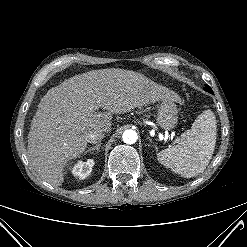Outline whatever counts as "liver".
<instances>
[{"mask_svg": "<svg viewBox=\"0 0 247 247\" xmlns=\"http://www.w3.org/2000/svg\"><path fill=\"white\" fill-rule=\"evenodd\" d=\"M179 96L144 75L124 69L92 70L63 81L41 99L28 134V158L40 178L64 181L63 167L87 147V136L110 131L112 114ZM102 107L106 112H96Z\"/></svg>", "mask_w": 247, "mask_h": 247, "instance_id": "liver-1", "label": "liver"}]
</instances>
